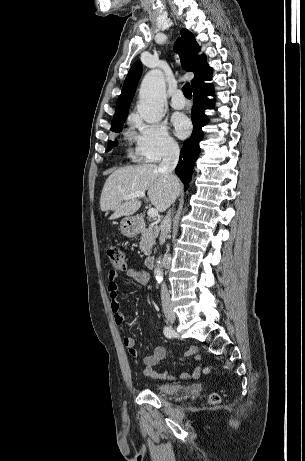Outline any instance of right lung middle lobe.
<instances>
[{
  "mask_svg": "<svg viewBox=\"0 0 305 461\" xmlns=\"http://www.w3.org/2000/svg\"><path fill=\"white\" fill-rule=\"evenodd\" d=\"M124 121L125 120L118 121V122H115V123H111V131L120 132L122 130V126H123ZM116 145H117V142L108 141L107 150L108 151L111 150L112 146H116Z\"/></svg>",
  "mask_w": 305,
  "mask_h": 461,
  "instance_id": "dd1d6c3e",
  "label": "right lung middle lobe"
}]
</instances>
